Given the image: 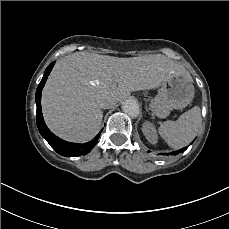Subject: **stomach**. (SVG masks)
Listing matches in <instances>:
<instances>
[{
    "mask_svg": "<svg viewBox=\"0 0 229 229\" xmlns=\"http://www.w3.org/2000/svg\"><path fill=\"white\" fill-rule=\"evenodd\" d=\"M192 80L186 76L175 75L162 82L158 94L149 104V109L159 118H165L173 109H183L194 98Z\"/></svg>",
    "mask_w": 229,
    "mask_h": 229,
    "instance_id": "stomach-1",
    "label": "stomach"
}]
</instances>
